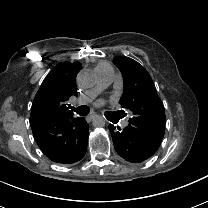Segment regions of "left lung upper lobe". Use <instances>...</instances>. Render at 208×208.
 <instances>
[{"mask_svg":"<svg viewBox=\"0 0 208 208\" xmlns=\"http://www.w3.org/2000/svg\"><path fill=\"white\" fill-rule=\"evenodd\" d=\"M113 62L124 77V93L119 102L122 108L131 111L129 124L162 139L165 111L149 73L128 57H116Z\"/></svg>","mask_w":208,"mask_h":208,"instance_id":"left-lung-upper-lobe-1","label":"left lung upper lobe"}]
</instances>
